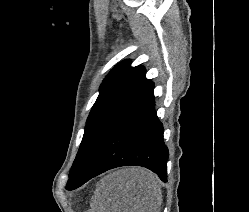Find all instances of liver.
<instances>
[{
	"mask_svg": "<svg viewBox=\"0 0 249 212\" xmlns=\"http://www.w3.org/2000/svg\"><path fill=\"white\" fill-rule=\"evenodd\" d=\"M162 192L155 174L132 166L111 172L97 184L90 212H160Z\"/></svg>",
	"mask_w": 249,
	"mask_h": 212,
	"instance_id": "1",
	"label": "liver"
}]
</instances>
